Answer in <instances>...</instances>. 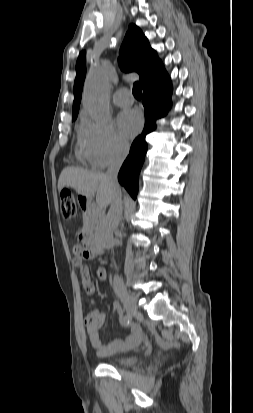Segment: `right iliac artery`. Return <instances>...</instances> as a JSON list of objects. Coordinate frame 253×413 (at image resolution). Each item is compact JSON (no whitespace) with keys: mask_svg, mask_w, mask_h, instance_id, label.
<instances>
[{"mask_svg":"<svg viewBox=\"0 0 253 413\" xmlns=\"http://www.w3.org/2000/svg\"><path fill=\"white\" fill-rule=\"evenodd\" d=\"M122 319L126 324H129V322H130V317L129 316H124Z\"/></svg>","mask_w":253,"mask_h":413,"instance_id":"82829eb1","label":"right iliac artery"}]
</instances>
